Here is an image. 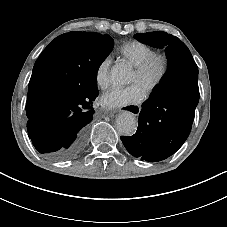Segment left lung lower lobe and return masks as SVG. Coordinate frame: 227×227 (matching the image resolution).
Wrapping results in <instances>:
<instances>
[{"mask_svg": "<svg viewBox=\"0 0 227 227\" xmlns=\"http://www.w3.org/2000/svg\"><path fill=\"white\" fill-rule=\"evenodd\" d=\"M198 100V67L191 54L180 51L142 105L136 133L121 136L125 148L148 162L168 158L189 136Z\"/></svg>", "mask_w": 227, "mask_h": 227, "instance_id": "0a47b994", "label": "left lung lower lobe"}]
</instances>
